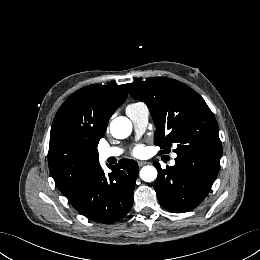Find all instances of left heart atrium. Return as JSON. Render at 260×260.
Masks as SVG:
<instances>
[{"instance_id": "obj_1", "label": "left heart atrium", "mask_w": 260, "mask_h": 260, "mask_svg": "<svg viewBox=\"0 0 260 260\" xmlns=\"http://www.w3.org/2000/svg\"><path fill=\"white\" fill-rule=\"evenodd\" d=\"M143 153V147L142 146H137L134 151H133V154L136 155V156H139Z\"/></svg>"}]
</instances>
